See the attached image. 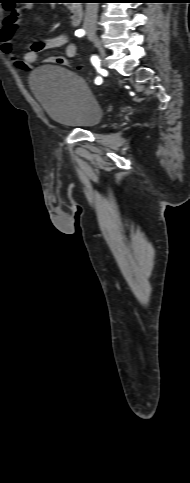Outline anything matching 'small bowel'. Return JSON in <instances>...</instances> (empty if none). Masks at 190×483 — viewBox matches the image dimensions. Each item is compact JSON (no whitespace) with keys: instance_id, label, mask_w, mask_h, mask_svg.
Listing matches in <instances>:
<instances>
[{"instance_id":"1","label":"small bowel","mask_w":190,"mask_h":483,"mask_svg":"<svg viewBox=\"0 0 190 483\" xmlns=\"http://www.w3.org/2000/svg\"><path fill=\"white\" fill-rule=\"evenodd\" d=\"M27 6H20L12 11L4 18L3 24L0 27V49L8 57V59L17 68L27 70L31 65L37 61L40 53L47 49L64 47V56H51L44 59L43 63L60 64L70 66L72 60L76 55V44L70 41L67 34H59L45 40L36 41L30 45L29 51L22 57H18L14 53L12 45V37L18 28L23 11Z\"/></svg>"}]
</instances>
